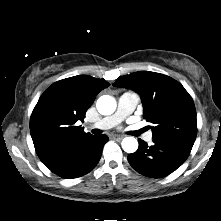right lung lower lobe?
I'll return each instance as SVG.
<instances>
[{"mask_svg":"<svg viewBox=\"0 0 221 221\" xmlns=\"http://www.w3.org/2000/svg\"><path fill=\"white\" fill-rule=\"evenodd\" d=\"M108 140L109 138L104 134L87 138L61 163L50 170L65 179H73L89 173L98 164L103 146Z\"/></svg>","mask_w":221,"mask_h":221,"instance_id":"98d812e1","label":"right lung lower lobe"}]
</instances>
